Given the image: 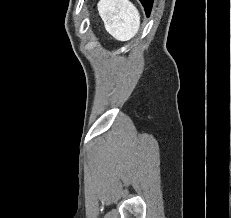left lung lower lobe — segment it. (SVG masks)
<instances>
[{
	"mask_svg": "<svg viewBox=\"0 0 231 218\" xmlns=\"http://www.w3.org/2000/svg\"><path fill=\"white\" fill-rule=\"evenodd\" d=\"M140 2L142 3V5L145 8V12H146L147 16H149V14L151 12L153 0H140Z\"/></svg>",
	"mask_w": 231,
	"mask_h": 218,
	"instance_id": "obj_1",
	"label": "left lung lower lobe"
}]
</instances>
